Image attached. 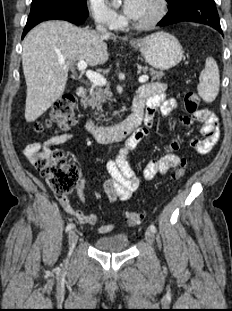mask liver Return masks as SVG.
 Instances as JSON below:
<instances>
[{
    "instance_id": "6515ba94",
    "label": "liver",
    "mask_w": 232,
    "mask_h": 311,
    "mask_svg": "<svg viewBox=\"0 0 232 311\" xmlns=\"http://www.w3.org/2000/svg\"><path fill=\"white\" fill-rule=\"evenodd\" d=\"M107 39L116 37L65 21L41 23L26 35L22 66L27 85V122L35 121L62 96L73 63L83 60L96 66L107 61ZM60 58L65 59L62 65L58 62Z\"/></svg>"
}]
</instances>
